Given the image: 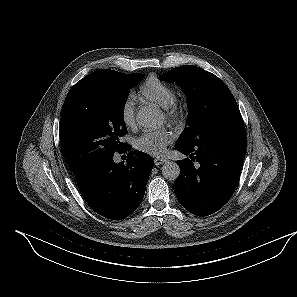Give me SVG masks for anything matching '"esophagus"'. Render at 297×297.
<instances>
[{"mask_svg":"<svg viewBox=\"0 0 297 297\" xmlns=\"http://www.w3.org/2000/svg\"><path fill=\"white\" fill-rule=\"evenodd\" d=\"M164 162H166V159H164V158H159V157L154 158V163L157 166L163 164Z\"/></svg>","mask_w":297,"mask_h":297,"instance_id":"1","label":"esophagus"}]
</instances>
